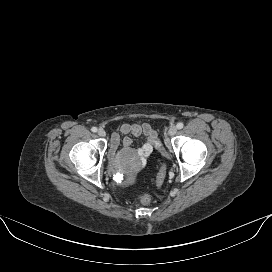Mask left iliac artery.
Wrapping results in <instances>:
<instances>
[{
  "instance_id": "44dca946",
  "label": "left iliac artery",
  "mask_w": 272,
  "mask_h": 272,
  "mask_svg": "<svg viewBox=\"0 0 272 272\" xmlns=\"http://www.w3.org/2000/svg\"><path fill=\"white\" fill-rule=\"evenodd\" d=\"M177 129H182L184 127V124L182 122L177 123L176 125Z\"/></svg>"
}]
</instances>
